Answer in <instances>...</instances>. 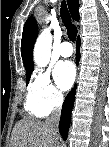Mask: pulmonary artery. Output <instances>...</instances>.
<instances>
[{"label": "pulmonary artery", "instance_id": "e3ab8cb5", "mask_svg": "<svg viewBox=\"0 0 109 147\" xmlns=\"http://www.w3.org/2000/svg\"><path fill=\"white\" fill-rule=\"evenodd\" d=\"M58 52L59 55L67 58L70 57L73 53V47L71 45V43H69L68 41L62 42L58 48Z\"/></svg>", "mask_w": 109, "mask_h": 147}]
</instances>
